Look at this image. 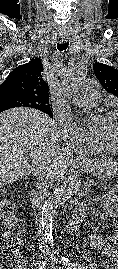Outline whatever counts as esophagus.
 Wrapping results in <instances>:
<instances>
[{
  "instance_id": "34e87169",
  "label": "esophagus",
  "mask_w": 118,
  "mask_h": 269,
  "mask_svg": "<svg viewBox=\"0 0 118 269\" xmlns=\"http://www.w3.org/2000/svg\"><path fill=\"white\" fill-rule=\"evenodd\" d=\"M60 41H61V42H65L66 39H65V38H61ZM84 159H85L84 157H79V158L77 159V161H81V160L84 161Z\"/></svg>"
}]
</instances>
